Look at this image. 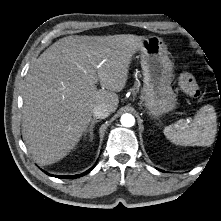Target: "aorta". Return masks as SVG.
<instances>
[{
	"instance_id": "1",
	"label": "aorta",
	"mask_w": 221,
	"mask_h": 221,
	"mask_svg": "<svg viewBox=\"0 0 221 221\" xmlns=\"http://www.w3.org/2000/svg\"><path fill=\"white\" fill-rule=\"evenodd\" d=\"M120 122L124 127H132L135 124V118L132 114L125 113L121 116Z\"/></svg>"
}]
</instances>
